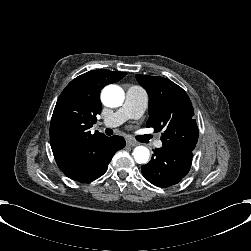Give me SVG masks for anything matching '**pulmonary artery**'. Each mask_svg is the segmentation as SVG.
I'll return each mask as SVG.
<instances>
[{
    "mask_svg": "<svg viewBox=\"0 0 251 251\" xmlns=\"http://www.w3.org/2000/svg\"><path fill=\"white\" fill-rule=\"evenodd\" d=\"M148 100L146 95L135 86H130L126 90L123 105L113 114L105 118L100 125L104 128H115L122 125L129 119H139L146 111ZM157 148L162 147V142L157 139L154 142Z\"/></svg>",
    "mask_w": 251,
    "mask_h": 251,
    "instance_id": "e3ab8cb5",
    "label": "pulmonary artery"
}]
</instances>
